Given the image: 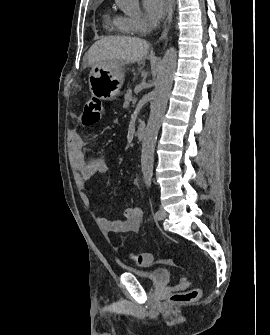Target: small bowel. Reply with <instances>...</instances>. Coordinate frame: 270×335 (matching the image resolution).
Instances as JSON below:
<instances>
[{
  "label": "small bowel",
  "instance_id": "obj_1",
  "mask_svg": "<svg viewBox=\"0 0 270 335\" xmlns=\"http://www.w3.org/2000/svg\"><path fill=\"white\" fill-rule=\"evenodd\" d=\"M84 142L76 130L68 132V160L72 169L76 186L84 190L88 180L94 175L107 173L108 165L102 159L87 161L83 152ZM80 199L86 206L90 205L89 197L86 193H80ZM142 208L131 206L124 210L123 218L110 220L102 216H97L99 227L105 233L136 232L139 230L142 218Z\"/></svg>",
  "mask_w": 270,
  "mask_h": 335
}]
</instances>
